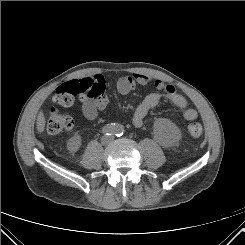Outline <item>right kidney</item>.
Masks as SVG:
<instances>
[{
	"mask_svg": "<svg viewBox=\"0 0 245 245\" xmlns=\"http://www.w3.org/2000/svg\"><path fill=\"white\" fill-rule=\"evenodd\" d=\"M81 146V136L76 134L69 139L68 148L72 151H76Z\"/></svg>",
	"mask_w": 245,
	"mask_h": 245,
	"instance_id": "obj_1",
	"label": "right kidney"
}]
</instances>
